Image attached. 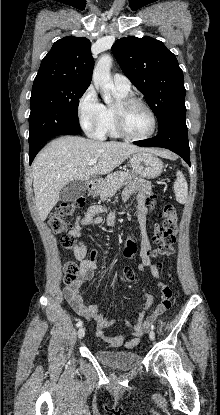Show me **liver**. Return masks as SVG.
<instances>
[{
    "instance_id": "liver-1",
    "label": "liver",
    "mask_w": 220,
    "mask_h": 415,
    "mask_svg": "<svg viewBox=\"0 0 220 415\" xmlns=\"http://www.w3.org/2000/svg\"><path fill=\"white\" fill-rule=\"evenodd\" d=\"M148 151L129 143L103 142L77 136H66L50 142L32 165L35 203L44 221L59 200L61 189L74 180H88L90 176L105 175L122 164L130 155ZM168 156L165 151H157ZM97 159L92 166L89 161Z\"/></svg>"
}]
</instances>
